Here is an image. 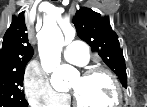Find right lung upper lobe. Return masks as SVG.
<instances>
[{"label":"right lung upper lobe","mask_w":147,"mask_h":107,"mask_svg":"<svg viewBox=\"0 0 147 107\" xmlns=\"http://www.w3.org/2000/svg\"><path fill=\"white\" fill-rule=\"evenodd\" d=\"M32 55L33 49L28 42L27 27L22 12L12 19L4 35L0 50V75L25 68Z\"/></svg>","instance_id":"obj_1"}]
</instances>
